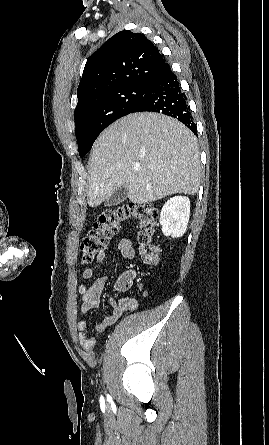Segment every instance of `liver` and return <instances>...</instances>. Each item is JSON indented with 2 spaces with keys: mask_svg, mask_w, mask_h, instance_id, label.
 Returning <instances> with one entry per match:
<instances>
[{
  "mask_svg": "<svg viewBox=\"0 0 269 445\" xmlns=\"http://www.w3.org/2000/svg\"><path fill=\"white\" fill-rule=\"evenodd\" d=\"M88 173L90 207L100 205L121 186L127 188L129 200L137 204L176 193L194 195L201 179L197 138L169 116L130 114L98 137L91 150Z\"/></svg>",
  "mask_w": 269,
  "mask_h": 445,
  "instance_id": "1",
  "label": "liver"
}]
</instances>
